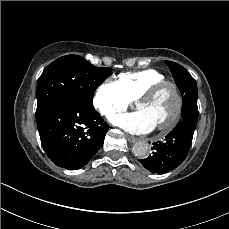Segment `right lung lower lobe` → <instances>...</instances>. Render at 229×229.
Returning a JSON list of instances; mask_svg holds the SVG:
<instances>
[{
	"mask_svg": "<svg viewBox=\"0 0 229 229\" xmlns=\"http://www.w3.org/2000/svg\"><path fill=\"white\" fill-rule=\"evenodd\" d=\"M36 121L44 151L57 166L70 170L91 160L109 128L93 106L70 98L52 104Z\"/></svg>",
	"mask_w": 229,
	"mask_h": 229,
	"instance_id": "right-lung-lower-lobe-1",
	"label": "right lung lower lobe"
}]
</instances>
